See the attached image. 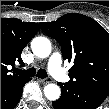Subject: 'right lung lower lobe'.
Segmentation results:
<instances>
[{
  "label": "right lung lower lobe",
  "mask_w": 109,
  "mask_h": 109,
  "mask_svg": "<svg viewBox=\"0 0 109 109\" xmlns=\"http://www.w3.org/2000/svg\"><path fill=\"white\" fill-rule=\"evenodd\" d=\"M29 77H24L1 89V109H13L22 96V89L25 83L30 81Z\"/></svg>",
  "instance_id": "right-lung-lower-lobe-1"
}]
</instances>
